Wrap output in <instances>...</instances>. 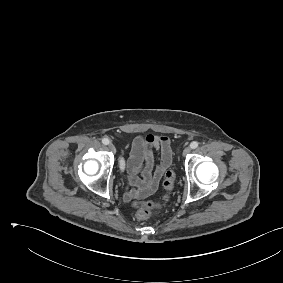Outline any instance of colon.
<instances>
[{"label": "colon", "mask_w": 283, "mask_h": 283, "mask_svg": "<svg viewBox=\"0 0 283 283\" xmlns=\"http://www.w3.org/2000/svg\"><path fill=\"white\" fill-rule=\"evenodd\" d=\"M175 185V174L172 170H169L165 174V179L163 182V186L168 193H170ZM168 199V195L165 196L164 201ZM163 203H154L152 201H147L139 205L137 210V217L139 219H145L152 214L156 213L158 210L161 209Z\"/></svg>", "instance_id": "obj_1"}]
</instances>
